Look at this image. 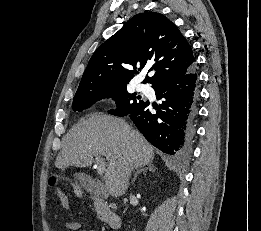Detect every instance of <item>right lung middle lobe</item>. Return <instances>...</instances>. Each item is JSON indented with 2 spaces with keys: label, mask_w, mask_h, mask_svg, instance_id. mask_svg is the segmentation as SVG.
<instances>
[{
  "label": "right lung middle lobe",
  "mask_w": 261,
  "mask_h": 231,
  "mask_svg": "<svg viewBox=\"0 0 261 231\" xmlns=\"http://www.w3.org/2000/svg\"><path fill=\"white\" fill-rule=\"evenodd\" d=\"M113 98L116 101L117 109L110 110L109 113L115 116H124L141 106L145 101L141 100L136 94H129L127 86L108 90H98L82 95H76L73 100V110L82 111L92 106L96 101L102 98Z\"/></svg>",
  "instance_id": "dd1d6c3e"
}]
</instances>
